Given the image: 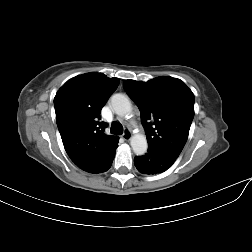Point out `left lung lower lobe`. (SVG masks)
Returning a JSON list of instances; mask_svg holds the SVG:
<instances>
[{"label": "left lung lower lobe", "mask_w": 252, "mask_h": 252, "mask_svg": "<svg viewBox=\"0 0 252 252\" xmlns=\"http://www.w3.org/2000/svg\"><path fill=\"white\" fill-rule=\"evenodd\" d=\"M178 157L155 147H148V152L143 156H136L134 164L142 174H157L169 169Z\"/></svg>", "instance_id": "left-lung-lower-lobe-1"}]
</instances>
